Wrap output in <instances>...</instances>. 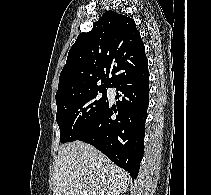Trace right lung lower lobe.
<instances>
[{
  "instance_id": "1",
  "label": "right lung lower lobe",
  "mask_w": 211,
  "mask_h": 195,
  "mask_svg": "<svg viewBox=\"0 0 211 195\" xmlns=\"http://www.w3.org/2000/svg\"><path fill=\"white\" fill-rule=\"evenodd\" d=\"M148 82V66L121 77L112 86L118 91L116 105L108 104L101 116L78 138L128 171L132 179L138 175L144 152Z\"/></svg>"
}]
</instances>
